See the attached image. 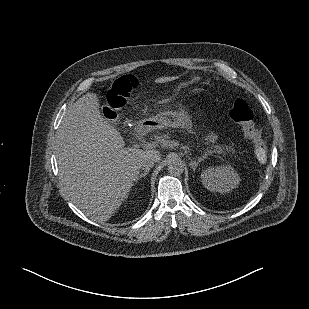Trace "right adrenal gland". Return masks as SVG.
Wrapping results in <instances>:
<instances>
[{
    "label": "right adrenal gland",
    "mask_w": 309,
    "mask_h": 309,
    "mask_svg": "<svg viewBox=\"0 0 309 309\" xmlns=\"http://www.w3.org/2000/svg\"><path fill=\"white\" fill-rule=\"evenodd\" d=\"M148 173H149V172L146 171L145 173L140 174L139 177H138V180H140V179L146 177V176L148 175Z\"/></svg>",
    "instance_id": "obj_1"
}]
</instances>
